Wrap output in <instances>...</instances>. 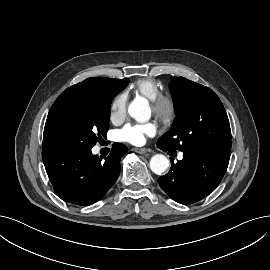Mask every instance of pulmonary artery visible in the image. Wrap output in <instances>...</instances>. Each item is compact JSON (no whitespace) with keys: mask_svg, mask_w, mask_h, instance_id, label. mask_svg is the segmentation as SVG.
<instances>
[{"mask_svg":"<svg viewBox=\"0 0 270 270\" xmlns=\"http://www.w3.org/2000/svg\"><path fill=\"white\" fill-rule=\"evenodd\" d=\"M179 158L181 159L182 158V155H180Z\"/></svg>","mask_w":270,"mask_h":270,"instance_id":"obj_1","label":"pulmonary artery"}]
</instances>
